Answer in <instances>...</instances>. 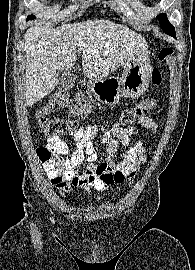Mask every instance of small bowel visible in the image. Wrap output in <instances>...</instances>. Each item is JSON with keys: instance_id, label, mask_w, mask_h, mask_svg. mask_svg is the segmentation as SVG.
<instances>
[{"instance_id": "1", "label": "small bowel", "mask_w": 195, "mask_h": 270, "mask_svg": "<svg viewBox=\"0 0 195 270\" xmlns=\"http://www.w3.org/2000/svg\"><path fill=\"white\" fill-rule=\"evenodd\" d=\"M138 127L152 133L157 130L154 120L145 115L128 126L114 124L100 137H97L96 124L78 126L74 149H69L59 136L49 137L47 146L54 148L64 158L65 170L74 186L105 192L111 185L116 184L120 187L125 179L135 177L144 164L146 150L139 138L131 146L122 162L115 163L113 159L120 148L129 145ZM96 143L105 146L104 160L100 163L97 162Z\"/></svg>"}]
</instances>
